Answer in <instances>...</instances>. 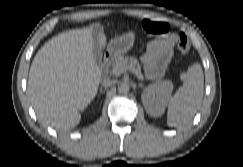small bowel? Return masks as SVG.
I'll list each match as a JSON object with an SVG mask.
<instances>
[{
	"label": "small bowel",
	"mask_w": 243,
	"mask_h": 167,
	"mask_svg": "<svg viewBox=\"0 0 243 167\" xmlns=\"http://www.w3.org/2000/svg\"><path fill=\"white\" fill-rule=\"evenodd\" d=\"M176 43V36L167 33L152 41L142 56L145 73L150 79L161 77L172 59V49Z\"/></svg>",
	"instance_id": "obj_1"
}]
</instances>
